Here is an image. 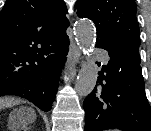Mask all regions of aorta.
<instances>
[{
    "label": "aorta",
    "instance_id": "aorta-1",
    "mask_svg": "<svg viewBox=\"0 0 151 131\" xmlns=\"http://www.w3.org/2000/svg\"><path fill=\"white\" fill-rule=\"evenodd\" d=\"M77 43L84 54L89 55L93 51L96 41L94 25L87 19H81L75 27ZM98 79V66L95 61L87 60L78 74L75 90L79 96L89 95Z\"/></svg>",
    "mask_w": 151,
    "mask_h": 131
}]
</instances>
